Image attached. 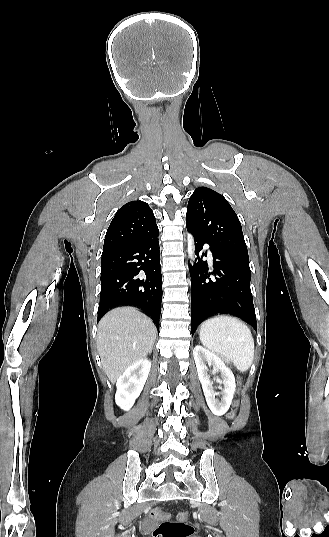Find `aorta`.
Masks as SVG:
<instances>
[{"label": "aorta", "mask_w": 329, "mask_h": 537, "mask_svg": "<svg viewBox=\"0 0 329 537\" xmlns=\"http://www.w3.org/2000/svg\"><path fill=\"white\" fill-rule=\"evenodd\" d=\"M187 245H188V255H189V258L192 260L193 259V254H194V240H193L192 235L188 234V236H187Z\"/></svg>", "instance_id": "aorta-1"}]
</instances>
